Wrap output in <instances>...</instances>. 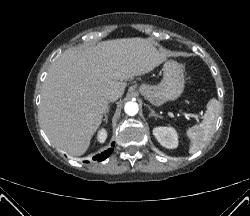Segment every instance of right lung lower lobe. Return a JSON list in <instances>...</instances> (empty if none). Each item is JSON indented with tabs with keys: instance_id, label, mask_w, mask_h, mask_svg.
I'll use <instances>...</instances> for the list:
<instances>
[{
	"instance_id": "1",
	"label": "right lung lower lobe",
	"mask_w": 250,
	"mask_h": 216,
	"mask_svg": "<svg viewBox=\"0 0 250 216\" xmlns=\"http://www.w3.org/2000/svg\"><path fill=\"white\" fill-rule=\"evenodd\" d=\"M112 146H114V142L112 143ZM112 151H113V148H109L107 151H104L101 154H98L95 157H93V160L103 161L112 153Z\"/></svg>"
}]
</instances>
